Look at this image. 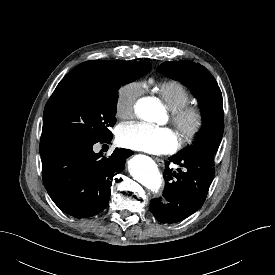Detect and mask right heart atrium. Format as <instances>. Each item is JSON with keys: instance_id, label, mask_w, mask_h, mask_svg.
Segmentation results:
<instances>
[{"instance_id": "right-heart-atrium-1", "label": "right heart atrium", "mask_w": 275, "mask_h": 275, "mask_svg": "<svg viewBox=\"0 0 275 275\" xmlns=\"http://www.w3.org/2000/svg\"><path fill=\"white\" fill-rule=\"evenodd\" d=\"M144 92L143 85L138 81L123 84L117 91L115 98V113L121 119H128L134 115L135 105Z\"/></svg>"}]
</instances>
